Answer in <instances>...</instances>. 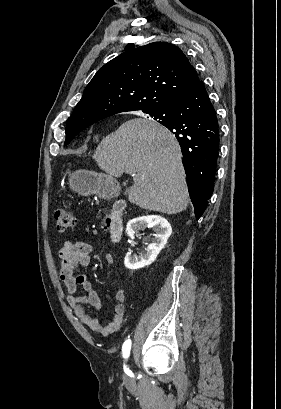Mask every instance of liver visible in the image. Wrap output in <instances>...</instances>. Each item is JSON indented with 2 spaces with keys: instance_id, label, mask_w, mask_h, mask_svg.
Instances as JSON below:
<instances>
[{
  "instance_id": "1",
  "label": "liver",
  "mask_w": 281,
  "mask_h": 409,
  "mask_svg": "<svg viewBox=\"0 0 281 409\" xmlns=\"http://www.w3.org/2000/svg\"><path fill=\"white\" fill-rule=\"evenodd\" d=\"M179 144L149 118H131L99 142L92 158L108 176L134 174L128 200L148 211L176 215L189 202Z\"/></svg>"
}]
</instances>
